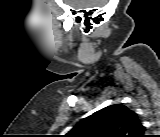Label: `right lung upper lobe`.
<instances>
[{
	"instance_id": "obj_1",
	"label": "right lung upper lobe",
	"mask_w": 160,
	"mask_h": 137,
	"mask_svg": "<svg viewBox=\"0 0 160 137\" xmlns=\"http://www.w3.org/2000/svg\"><path fill=\"white\" fill-rule=\"evenodd\" d=\"M145 128L137 114L123 104L107 106L78 122L70 137H141Z\"/></svg>"
}]
</instances>
